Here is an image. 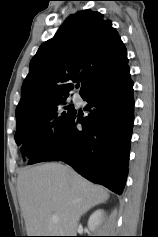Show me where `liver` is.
<instances>
[{"label": "liver", "instance_id": "1", "mask_svg": "<svg viewBox=\"0 0 158 237\" xmlns=\"http://www.w3.org/2000/svg\"><path fill=\"white\" fill-rule=\"evenodd\" d=\"M17 189L28 236H74L81 216L109 198L105 188L56 162L23 169Z\"/></svg>", "mask_w": 158, "mask_h": 237}]
</instances>
